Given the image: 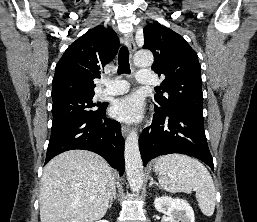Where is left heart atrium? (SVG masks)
I'll list each match as a JSON object with an SVG mask.
<instances>
[{
  "label": "left heart atrium",
  "instance_id": "left-heart-atrium-1",
  "mask_svg": "<svg viewBox=\"0 0 257 222\" xmlns=\"http://www.w3.org/2000/svg\"><path fill=\"white\" fill-rule=\"evenodd\" d=\"M112 114L126 123L137 122L143 115V102L137 94L126 95L115 102Z\"/></svg>",
  "mask_w": 257,
  "mask_h": 222
}]
</instances>
